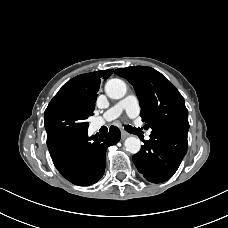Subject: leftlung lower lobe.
Listing matches in <instances>:
<instances>
[{
  "label": "left lung lower lobe",
  "mask_w": 228,
  "mask_h": 228,
  "mask_svg": "<svg viewBox=\"0 0 228 228\" xmlns=\"http://www.w3.org/2000/svg\"><path fill=\"white\" fill-rule=\"evenodd\" d=\"M143 142L141 150L133 156L138 171L153 183L171 178L187 152V135L173 130H155L150 140Z\"/></svg>",
  "instance_id": "obj_1"
}]
</instances>
